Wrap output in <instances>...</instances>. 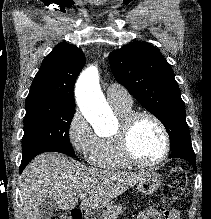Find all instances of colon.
<instances>
[{
	"mask_svg": "<svg viewBox=\"0 0 211 219\" xmlns=\"http://www.w3.org/2000/svg\"><path fill=\"white\" fill-rule=\"evenodd\" d=\"M187 180V168L184 163H174L169 171L167 182L162 188L164 202L167 206L178 204L185 194ZM50 219H81L78 210H72L67 214L53 216Z\"/></svg>",
	"mask_w": 211,
	"mask_h": 219,
	"instance_id": "obj_1",
	"label": "colon"
}]
</instances>
